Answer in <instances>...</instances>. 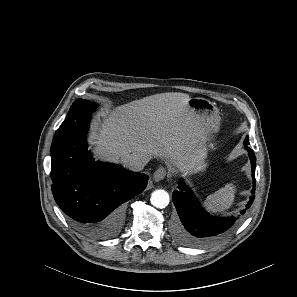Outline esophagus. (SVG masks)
Instances as JSON below:
<instances>
[{"instance_id": "obj_1", "label": "esophagus", "mask_w": 297, "mask_h": 297, "mask_svg": "<svg viewBox=\"0 0 297 297\" xmlns=\"http://www.w3.org/2000/svg\"><path fill=\"white\" fill-rule=\"evenodd\" d=\"M166 175H167V170L164 167H161L154 172L153 180L155 182H159L163 180L166 177Z\"/></svg>"}]
</instances>
